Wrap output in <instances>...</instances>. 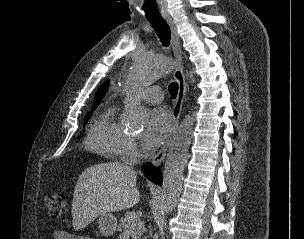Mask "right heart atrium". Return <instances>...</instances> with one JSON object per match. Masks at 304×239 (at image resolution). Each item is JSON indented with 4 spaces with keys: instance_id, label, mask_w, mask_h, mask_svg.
Segmentation results:
<instances>
[{
    "instance_id": "d8ad5b80",
    "label": "right heart atrium",
    "mask_w": 304,
    "mask_h": 239,
    "mask_svg": "<svg viewBox=\"0 0 304 239\" xmlns=\"http://www.w3.org/2000/svg\"><path fill=\"white\" fill-rule=\"evenodd\" d=\"M138 152V147L133 136L126 134L121 146V153L127 157L131 158L135 156Z\"/></svg>"
}]
</instances>
